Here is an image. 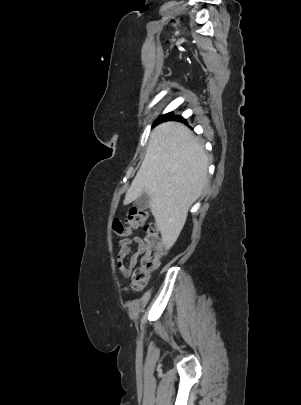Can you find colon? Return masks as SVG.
Wrapping results in <instances>:
<instances>
[{"label": "colon", "instance_id": "obj_1", "mask_svg": "<svg viewBox=\"0 0 301 405\" xmlns=\"http://www.w3.org/2000/svg\"><path fill=\"white\" fill-rule=\"evenodd\" d=\"M146 220L147 213L145 211L132 208L124 220L116 219L112 224L113 232L121 237L128 236L132 230L144 226L143 244L139 254L138 266L132 273V287L136 290L142 289L147 284L152 273L159 268L161 258L166 251L158 228L154 224H145Z\"/></svg>", "mask_w": 301, "mask_h": 405}]
</instances>
